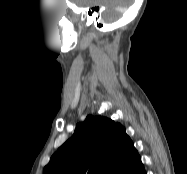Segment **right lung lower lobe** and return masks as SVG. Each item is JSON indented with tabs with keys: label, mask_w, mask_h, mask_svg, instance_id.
<instances>
[{
	"label": "right lung lower lobe",
	"mask_w": 187,
	"mask_h": 174,
	"mask_svg": "<svg viewBox=\"0 0 187 174\" xmlns=\"http://www.w3.org/2000/svg\"><path fill=\"white\" fill-rule=\"evenodd\" d=\"M137 174H146L144 168L140 172H138Z\"/></svg>",
	"instance_id": "right-lung-lower-lobe-1"
}]
</instances>
